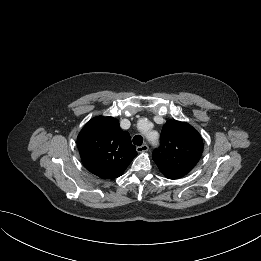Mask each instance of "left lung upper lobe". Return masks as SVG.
I'll list each match as a JSON object with an SVG mask.
<instances>
[{"label": "left lung upper lobe", "instance_id": "left-lung-upper-lobe-1", "mask_svg": "<svg viewBox=\"0 0 261 261\" xmlns=\"http://www.w3.org/2000/svg\"><path fill=\"white\" fill-rule=\"evenodd\" d=\"M202 152L200 134L186 122L170 120L162 128L160 147L152 159L167 178L179 179L194 168Z\"/></svg>", "mask_w": 261, "mask_h": 261}]
</instances>
